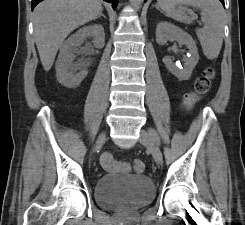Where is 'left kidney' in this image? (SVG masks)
<instances>
[{
    "instance_id": "obj_1",
    "label": "left kidney",
    "mask_w": 245,
    "mask_h": 225,
    "mask_svg": "<svg viewBox=\"0 0 245 225\" xmlns=\"http://www.w3.org/2000/svg\"><path fill=\"white\" fill-rule=\"evenodd\" d=\"M170 39H175L180 45H185L188 48V54L184 58L183 67L176 65L169 56L164 57L163 62L166 68L179 80H188L199 60L196 43L190 34L178 26L168 22L158 23L156 27V42L159 45H164Z\"/></svg>"
}]
</instances>
